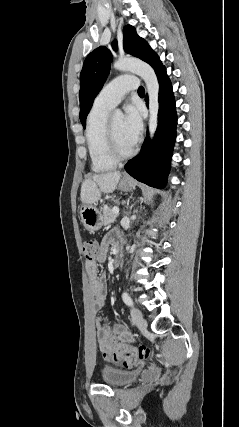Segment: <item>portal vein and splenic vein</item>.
Instances as JSON below:
<instances>
[{
	"label": "portal vein and splenic vein",
	"mask_w": 239,
	"mask_h": 427,
	"mask_svg": "<svg viewBox=\"0 0 239 427\" xmlns=\"http://www.w3.org/2000/svg\"><path fill=\"white\" fill-rule=\"evenodd\" d=\"M114 214H118L119 213V207L118 206H114L112 209Z\"/></svg>",
	"instance_id": "18ae733b"
}]
</instances>
